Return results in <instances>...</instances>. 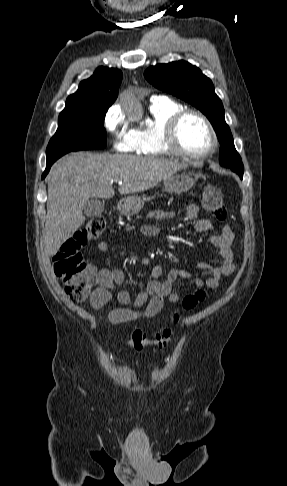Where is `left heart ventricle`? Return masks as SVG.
I'll return each mask as SVG.
<instances>
[{"label": "left heart ventricle", "mask_w": 287, "mask_h": 486, "mask_svg": "<svg viewBox=\"0 0 287 486\" xmlns=\"http://www.w3.org/2000/svg\"><path fill=\"white\" fill-rule=\"evenodd\" d=\"M178 141L189 152H202L211 145L208 129L195 115H189L181 122L178 129Z\"/></svg>", "instance_id": "left-heart-ventricle-1"}]
</instances>
